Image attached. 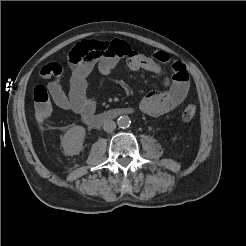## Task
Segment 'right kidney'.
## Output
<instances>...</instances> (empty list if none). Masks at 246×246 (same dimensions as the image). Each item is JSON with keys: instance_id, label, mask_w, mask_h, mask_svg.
Wrapping results in <instances>:
<instances>
[{"instance_id": "obj_1", "label": "right kidney", "mask_w": 246, "mask_h": 246, "mask_svg": "<svg viewBox=\"0 0 246 246\" xmlns=\"http://www.w3.org/2000/svg\"><path fill=\"white\" fill-rule=\"evenodd\" d=\"M85 134V129L82 126L71 127L64 134L61 144L65 155H77L83 150Z\"/></svg>"}]
</instances>
